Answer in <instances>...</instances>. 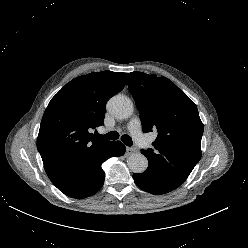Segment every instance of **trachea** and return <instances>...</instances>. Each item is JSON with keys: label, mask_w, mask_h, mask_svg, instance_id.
Segmentation results:
<instances>
[{"label": "trachea", "mask_w": 248, "mask_h": 248, "mask_svg": "<svg viewBox=\"0 0 248 248\" xmlns=\"http://www.w3.org/2000/svg\"><path fill=\"white\" fill-rule=\"evenodd\" d=\"M97 137L103 138V139H110V140H116L119 138V133L116 131H111L105 135L97 134ZM121 140L126 146H132L133 142L130 136L128 135H123L121 137Z\"/></svg>", "instance_id": "trachea-1"}]
</instances>
